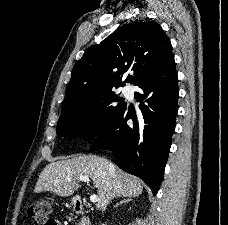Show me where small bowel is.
Wrapping results in <instances>:
<instances>
[{
  "instance_id": "obj_1",
  "label": "small bowel",
  "mask_w": 228,
  "mask_h": 225,
  "mask_svg": "<svg viewBox=\"0 0 228 225\" xmlns=\"http://www.w3.org/2000/svg\"><path fill=\"white\" fill-rule=\"evenodd\" d=\"M52 225H61V222H59L57 220H53V224Z\"/></svg>"
}]
</instances>
